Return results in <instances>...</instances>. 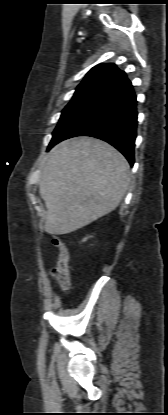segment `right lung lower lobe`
<instances>
[{
    "mask_svg": "<svg viewBox=\"0 0 168 415\" xmlns=\"http://www.w3.org/2000/svg\"><path fill=\"white\" fill-rule=\"evenodd\" d=\"M137 100L127 77L107 88L74 114L53 136L48 150L65 139L91 136L118 149L134 164Z\"/></svg>",
    "mask_w": 168,
    "mask_h": 415,
    "instance_id": "right-lung-lower-lobe-1",
    "label": "right lung lower lobe"
}]
</instances>
